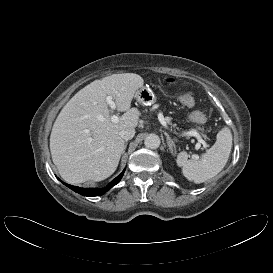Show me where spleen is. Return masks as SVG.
Instances as JSON below:
<instances>
[{"mask_svg": "<svg viewBox=\"0 0 273 273\" xmlns=\"http://www.w3.org/2000/svg\"><path fill=\"white\" fill-rule=\"evenodd\" d=\"M232 148V133L228 127L222 128L215 144L202 155L201 159H188L187 152L177 155L176 163L182 167L183 175L195 183H203L216 176L225 167Z\"/></svg>", "mask_w": 273, "mask_h": 273, "instance_id": "1", "label": "spleen"}]
</instances>
